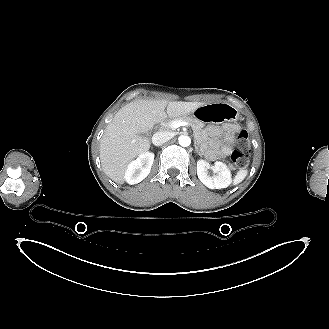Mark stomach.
<instances>
[{
  "mask_svg": "<svg viewBox=\"0 0 329 329\" xmlns=\"http://www.w3.org/2000/svg\"><path fill=\"white\" fill-rule=\"evenodd\" d=\"M192 114L203 123L221 122L224 120L235 122L239 116L238 111L234 107L223 102L205 104L196 109Z\"/></svg>",
  "mask_w": 329,
  "mask_h": 329,
  "instance_id": "stomach-1",
  "label": "stomach"
}]
</instances>
